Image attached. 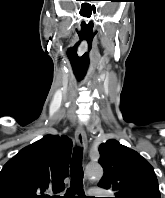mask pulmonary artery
<instances>
[{"mask_svg":"<svg viewBox=\"0 0 165 198\" xmlns=\"http://www.w3.org/2000/svg\"><path fill=\"white\" fill-rule=\"evenodd\" d=\"M99 188H93L92 190H98Z\"/></svg>","mask_w":165,"mask_h":198,"instance_id":"pulmonary-artery-1","label":"pulmonary artery"}]
</instances>
